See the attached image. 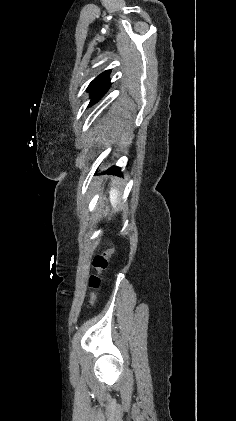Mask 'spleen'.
Returning a JSON list of instances; mask_svg holds the SVG:
<instances>
[{
    "label": "spleen",
    "instance_id": "3e777b00",
    "mask_svg": "<svg viewBox=\"0 0 236 421\" xmlns=\"http://www.w3.org/2000/svg\"><path fill=\"white\" fill-rule=\"evenodd\" d=\"M109 196H110V202L116 211V208L119 202L120 190H117L116 186H112V188H110L109 190Z\"/></svg>",
    "mask_w": 236,
    "mask_h": 421
}]
</instances>
